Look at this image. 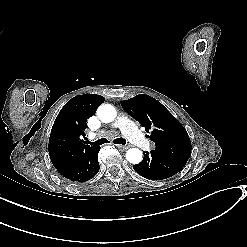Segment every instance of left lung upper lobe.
Segmentation results:
<instances>
[{"label":"left lung upper lobe","mask_w":247,"mask_h":247,"mask_svg":"<svg viewBox=\"0 0 247 247\" xmlns=\"http://www.w3.org/2000/svg\"><path fill=\"white\" fill-rule=\"evenodd\" d=\"M123 109L136 119L156 144V151L186 163L191 155V141L182 124L153 97L139 94L121 101Z\"/></svg>","instance_id":"obj_1"}]
</instances>
